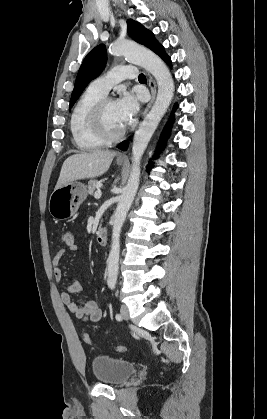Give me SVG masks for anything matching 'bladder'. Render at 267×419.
I'll return each instance as SVG.
<instances>
[{"label":"bladder","instance_id":"bladder-1","mask_svg":"<svg viewBox=\"0 0 267 419\" xmlns=\"http://www.w3.org/2000/svg\"><path fill=\"white\" fill-rule=\"evenodd\" d=\"M91 369L98 382L117 386L124 383L135 372L136 366L127 360L98 355L92 359Z\"/></svg>","mask_w":267,"mask_h":419}]
</instances>
